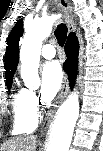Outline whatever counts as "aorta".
<instances>
[{"instance_id": "762f6f07", "label": "aorta", "mask_w": 103, "mask_h": 151, "mask_svg": "<svg viewBox=\"0 0 103 151\" xmlns=\"http://www.w3.org/2000/svg\"><path fill=\"white\" fill-rule=\"evenodd\" d=\"M59 17V14L45 16L25 26V34L20 41L21 75L24 80L37 74L42 41L50 35L53 24ZM78 117V95L72 93L57 112L46 151L69 150Z\"/></svg>"}]
</instances>
